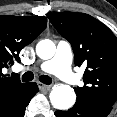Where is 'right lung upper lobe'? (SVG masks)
I'll use <instances>...</instances> for the list:
<instances>
[{"label":"right lung upper lobe","instance_id":"1","mask_svg":"<svg viewBox=\"0 0 117 117\" xmlns=\"http://www.w3.org/2000/svg\"><path fill=\"white\" fill-rule=\"evenodd\" d=\"M44 16H0V109L9 104L28 84L4 75L2 69L20 62L19 52L44 31Z\"/></svg>","mask_w":117,"mask_h":117}]
</instances>
